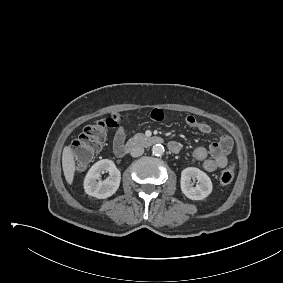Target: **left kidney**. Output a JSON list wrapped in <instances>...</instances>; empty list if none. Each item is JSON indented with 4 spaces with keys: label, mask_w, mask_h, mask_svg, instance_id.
I'll return each instance as SVG.
<instances>
[{
    "label": "left kidney",
    "mask_w": 283,
    "mask_h": 283,
    "mask_svg": "<svg viewBox=\"0 0 283 283\" xmlns=\"http://www.w3.org/2000/svg\"><path fill=\"white\" fill-rule=\"evenodd\" d=\"M191 179H196L197 184L194 187ZM181 191L191 200H203L212 192V182L209 176L195 167L185 168L181 172Z\"/></svg>",
    "instance_id": "left-kidney-1"
}]
</instances>
